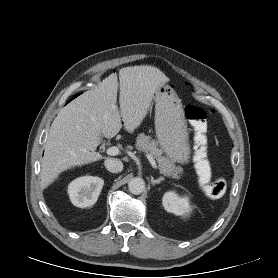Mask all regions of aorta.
I'll list each match as a JSON object with an SVG mask.
<instances>
[{"instance_id": "762f6f07", "label": "aorta", "mask_w": 278, "mask_h": 278, "mask_svg": "<svg viewBox=\"0 0 278 278\" xmlns=\"http://www.w3.org/2000/svg\"><path fill=\"white\" fill-rule=\"evenodd\" d=\"M129 191L134 195L141 194L145 189V182L140 177H134L128 184Z\"/></svg>"}]
</instances>
